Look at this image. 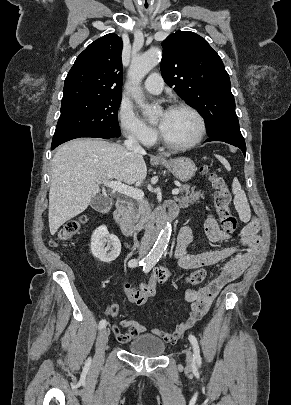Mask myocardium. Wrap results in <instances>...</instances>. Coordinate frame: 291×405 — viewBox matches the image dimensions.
Instances as JSON below:
<instances>
[{"instance_id": "obj_1", "label": "myocardium", "mask_w": 291, "mask_h": 405, "mask_svg": "<svg viewBox=\"0 0 291 405\" xmlns=\"http://www.w3.org/2000/svg\"><path fill=\"white\" fill-rule=\"evenodd\" d=\"M179 109L187 110L196 117L199 128H198V133L195 136V138L192 139L191 141H189L187 143H183V144L172 143L165 138V136L163 135V133L160 129L158 130V138H159L160 143L169 149L187 150V149H191V148L195 147L202 141V139L204 138V136L206 134L207 126H206L205 118L199 112V110L187 103L173 104L168 108V111L179 110Z\"/></svg>"}]
</instances>
